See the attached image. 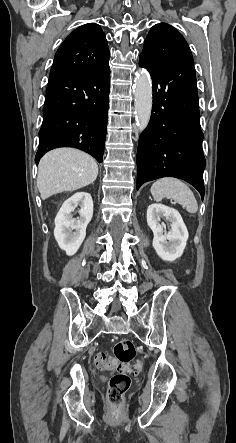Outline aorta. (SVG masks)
<instances>
[{"label":"aorta","mask_w":236,"mask_h":443,"mask_svg":"<svg viewBox=\"0 0 236 443\" xmlns=\"http://www.w3.org/2000/svg\"><path fill=\"white\" fill-rule=\"evenodd\" d=\"M134 97L136 123L142 132L149 124L152 109V82L144 69L136 77Z\"/></svg>","instance_id":"aorta-1"}]
</instances>
